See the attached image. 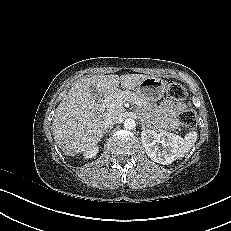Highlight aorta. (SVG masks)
Returning a JSON list of instances; mask_svg holds the SVG:
<instances>
[{
  "label": "aorta",
  "mask_w": 231,
  "mask_h": 231,
  "mask_svg": "<svg viewBox=\"0 0 231 231\" xmlns=\"http://www.w3.org/2000/svg\"><path fill=\"white\" fill-rule=\"evenodd\" d=\"M123 126L126 129L131 130V129H134L136 127V122L132 118H127V119L124 120Z\"/></svg>",
  "instance_id": "1"
}]
</instances>
